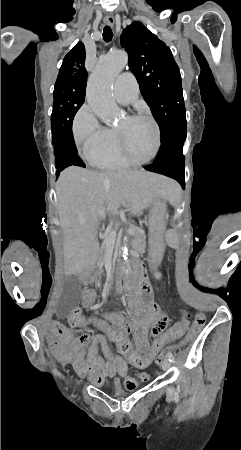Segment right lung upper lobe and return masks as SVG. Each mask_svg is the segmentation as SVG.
Instances as JSON below:
<instances>
[{
  "instance_id": "1",
  "label": "right lung upper lobe",
  "mask_w": 241,
  "mask_h": 450,
  "mask_svg": "<svg viewBox=\"0 0 241 450\" xmlns=\"http://www.w3.org/2000/svg\"><path fill=\"white\" fill-rule=\"evenodd\" d=\"M85 47L78 42L65 56L56 83H74L86 86L87 71L84 67Z\"/></svg>"
}]
</instances>
